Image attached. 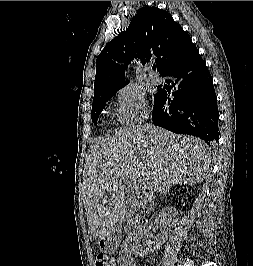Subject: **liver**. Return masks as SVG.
Returning <instances> with one entry per match:
<instances>
[{"label": "liver", "instance_id": "6515ba94", "mask_svg": "<svg viewBox=\"0 0 253 266\" xmlns=\"http://www.w3.org/2000/svg\"><path fill=\"white\" fill-rule=\"evenodd\" d=\"M211 151L199 138L137 125L92 145L85 161L83 201L91 235L102 238L126 216L120 180L167 192L174 184L201 183ZM109 196V199H108Z\"/></svg>", "mask_w": 253, "mask_h": 266}]
</instances>
